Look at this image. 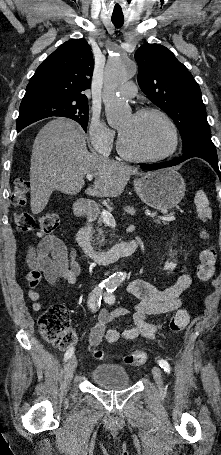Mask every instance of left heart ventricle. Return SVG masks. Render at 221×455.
<instances>
[{"label":"left heart ventricle","mask_w":221,"mask_h":455,"mask_svg":"<svg viewBox=\"0 0 221 455\" xmlns=\"http://www.w3.org/2000/svg\"><path fill=\"white\" fill-rule=\"evenodd\" d=\"M118 129L125 149L136 155H158L171 146L170 130L156 115H130L121 122Z\"/></svg>","instance_id":"left-heart-ventricle-1"}]
</instances>
